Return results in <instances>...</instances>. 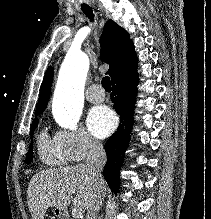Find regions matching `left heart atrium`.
<instances>
[{
	"label": "left heart atrium",
	"mask_w": 211,
	"mask_h": 219,
	"mask_svg": "<svg viewBox=\"0 0 211 219\" xmlns=\"http://www.w3.org/2000/svg\"><path fill=\"white\" fill-rule=\"evenodd\" d=\"M87 124L93 135L104 138L114 130L116 117L108 107L99 106L90 111Z\"/></svg>",
	"instance_id": "1"
}]
</instances>
